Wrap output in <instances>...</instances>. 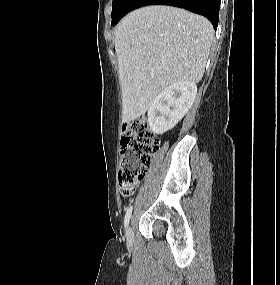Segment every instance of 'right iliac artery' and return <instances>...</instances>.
Masks as SVG:
<instances>
[{
	"instance_id": "82829eb1",
	"label": "right iliac artery",
	"mask_w": 280,
	"mask_h": 285,
	"mask_svg": "<svg viewBox=\"0 0 280 285\" xmlns=\"http://www.w3.org/2000/svg\"><path fill=\"white\" fill-rule=\"evenodd\" d=\"M131 213H132V206L129 207L126 211V214H125V218H124V225H125V228L128 226L129 224V220H130V217H131Z\"/></svg>"
}]
</instances>
